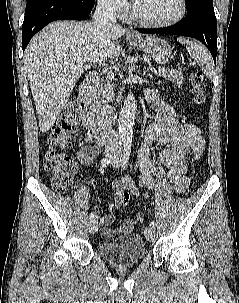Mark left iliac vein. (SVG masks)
Returning <instances> with one entry per match:
<instances>
[{
	"instance_id": "left-iliac-vein-1",
	"label": "left iliac vein",
	"mask_w": 239,
	"mask_h": 303,
	"mask_svg": "<svg viewBox=\"0 0 239 303\" xmlns=\"http://www.w3.org/2000/svg\"><path fill=\"white\" fill-rule=\"evenodd\" d=\"M111 164L114 168L119 169L120 164H119V157L114 156L111 158ZM145 237L147 238L148 241L150 242H155L157 239V232L155 227H146L144 231Z\"/></svg>"
}]
</instances>
